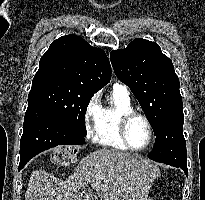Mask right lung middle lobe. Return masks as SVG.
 Here are the masks:
<instances>
[{"instance_id": "dd1d6c3e", "label": "right lung middle lobe", "mask_w": 205, "mask_h": 200, "mask_svg": "<svg viewBox=\"0 0 205 200\" xmlns=\"http://www.w3.org/2000/svg\"><path fill=\"white\" fill-rule=\"evenodd\" d=\"M95 92L80 85L55 79L44 78L32 81L28 95V106H40L85 136V113Z\"/></svg>"}]
</instances>
